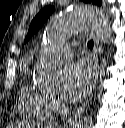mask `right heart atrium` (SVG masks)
<instances>
[{"label":"right heart atrium","instance_id":"obj_1","mask_svg":"<svg viewBox=\"0 0 125 128\" xmlns=\"http://www.w3.org/2000/svg\"><path fill=\"white\" fill-rule=\"evenodd\" d=\"M48 99L54 109H57L60 106L58 99L54 96H48Z\"/></svg>","mask_w":125,"mask_h":128}]
</instances>
